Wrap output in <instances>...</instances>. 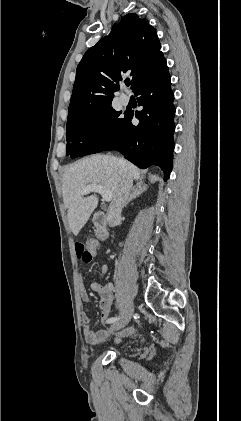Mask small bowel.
Here are the masks:
<instances>
[{
    "instance_id": "obj_1",
    "label": "small bowel",
    "mask_w": 241,
    "mask_h": 421,
    "mask_svg": "<svg viewBox=\"0 0 241 421\" xmlns=\"http://www.w3.org/2000/svg\"><path fill=\"white\" fill-rule=\"evenodd\" d=\"M108 271V266L104 264L101 268L99 277L104 276ZM91 289L100 296L99 308L101 310V323L105 325L108 320L112 300H113V285L112 284H102L99 281H94L91 283ZM79 295L83 302L89 301V296L87 294L84 281L81 278L79 282ZM83 322V335L86 342L90 344H97L108 339V331L106 329L94 331L90 325L91 318L87 313L82 314ZM134 332L133 327H128L118 333L117 338L125 337Z\"/></svg>"
}]
</instances>
